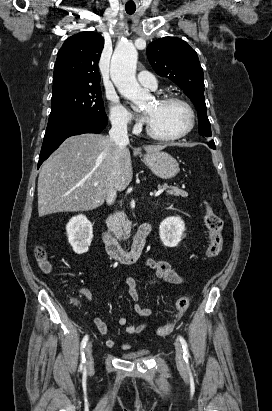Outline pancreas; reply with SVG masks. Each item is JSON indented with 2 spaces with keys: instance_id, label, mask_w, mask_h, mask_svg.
<instances>
[{
  "instance_id": "pancreas-1",
  "label": "pancreas",
  "mask_w": 272,
  "mask_h": 411,
  "mask_svg": "<svg viewBox=\"0 0 272 411\" xmlns=\"http://www.w3.org/2000/svg\"><path fill=\"white\" fill-rule=\"evenodd\" d=\"M162 188H169L167 190L168 195H174V196H181V197H187L188 193L184 190H181L177 187H169L167 185H163ZM107 226L110 231L114 233V235L121 239L125 236L124 229L127 225L126 221V215L124 212H116L113 215H111L107 221Z\"/></svg>"
}]
</instances>
